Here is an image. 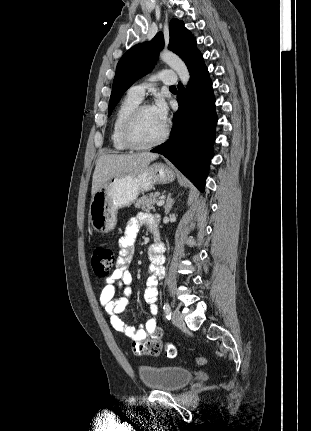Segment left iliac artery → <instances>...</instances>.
<instances>
[{
	"instance_id": "left-iliac-artery-1",
	"label": "left iliac artery",
	"mask_w": 311,
	"mask_h": 431,
	"mask_svg": "<svg viewBox=\"0 0 311 431\" xmlns=\"http://www.w3.org/2000/svg\"><path fill=\"white\" fill-rule=\"evenodd\" d=\"M164 314L166 319L170 320L171 318V308L168 302H166L163 306Z\"/></svg>"
}]
</instances>
